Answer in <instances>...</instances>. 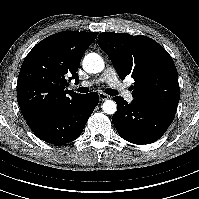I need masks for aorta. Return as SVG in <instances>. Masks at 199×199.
I'll return each instance as SVG.
<instances>
[{
    "label": "aorta",
    "instance_id": "aorta-1",
    "mask_svg": "<svg viewBox=\"0 0 199 199\" xmlns=\"http://www.w3.org/2000/svg\"><path fill=\"white\" fill-rule=\"evenodd\" d=\"M105 67L102 57L97 53H89L83 59V68L88 73H100ZM102 109L106 114H114L117 105L113 100H107L103 103Z\"/></svg>",
    "mask_w": 199,
    "mask_h": 199
}]
</instances>
